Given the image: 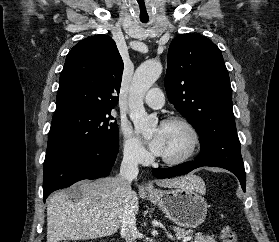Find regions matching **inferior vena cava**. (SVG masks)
<instances>
[{
    "label": "inferior vena cava",
    "mask_w": 279,
    "mask_h": 242,
    "mask_svg": "<svg viewBox=\"0 0 279 242\" xmlns=\"http://www.w3.org/2000/svg\"><path fill=\"white\" fill-rule=\"evenodd\" d=\"M138 163L139 154L135 149L124 152L120 167V192L123 199L120 234L126 242H136L138 235L135 214L131 206V198L133 195L131 182L138 175Z\"/></svg>",
    "instance_id": "602c4592"
}]
</instances>
